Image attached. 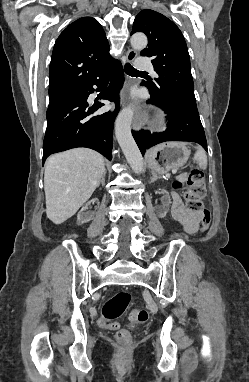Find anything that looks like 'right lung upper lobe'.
<instances>
[{
	"label": "right lung upper lobe",
	"instance_id": "right-lung-upper-lobe-1",
	"mask_svg": "<svg viewBox=\"0 0 249 382\" xmlns=\"http://www.w3.org/2000/svg\"><path fill=\"white\" fill-rule=\"evenodd\" d=\"M110 60L106 34L92 17L70 24L55 42L49 69L50 103L82 89Z\"/></svg>",
	"mask_w": 249,
	"mask_h": 382
}]
</instances>
